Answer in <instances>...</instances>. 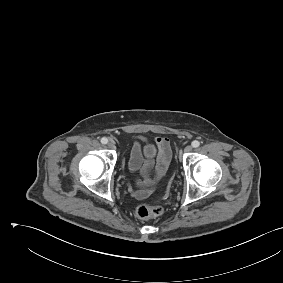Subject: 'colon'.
<instances>
[{"mask_svg":"<svg viewBox=\"0 0 283 283\" xmlns=\"http://www.w3.org/2000/svg\"><path fill=\"white\" fill-rule=\"evenodd\" d=\"M163 213V208L160 206H153L149 204H142L138 206L136 215L140 219H148L160 216Z\"/></svg>","mask_w":283,"mask_h":283,"instance_id":"colon-1","label":"colon"}]
</instances>
